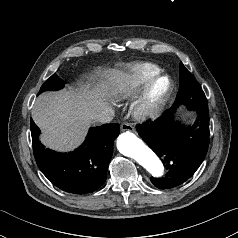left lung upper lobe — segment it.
Listing matches in <instances>:
<instances>
[{
  "instance_id": "5c2ea615",
  "label": "left lung upper lobe",
  "mask_w": 238,
  "mask_h": 238,
  "mask_svg": "<svg viewBox=\"0 0 238 238\" xmlns=\"http://www.w3.org/2000/svg\"><path fill=\"white\" fill-rule=\"evenodd\" d=\"M178 101H185L188 105H207L203 90L183 63H180V87L175 102Z\"/></svg>"
}]
</instances>
